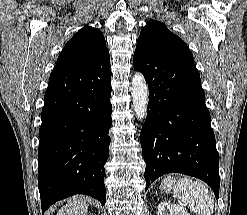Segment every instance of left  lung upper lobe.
Wrapping results in <instances>:
<instances>
[{
  "label": "left lung upper lobe",
  "instance_id": "left-lung-upper-lobe-1",
  "mask_svg": "<svg viewBox=\"0 0 247 215\" xmlns=\"http://www.w3.org/2000/svg\"><path fill=\"white\" fill-rule=\"evenodd\" d=\"M137 44L145 45L161 55L194 62L185 42L172 33L165 24L150 20L141 30Z\"/></svg>",
  "mask_w": 247,
  "mask_h": 215
}]
</instances>
